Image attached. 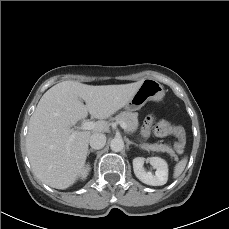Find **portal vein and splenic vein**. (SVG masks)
Masks as SVG:
<instances>
[{"label":"portal vein and splenic vein","mask_w":229,"mask_h":229,"mask_svg":"<svg viewBox=\"0 0 229 229\" xmlns=\"http://www.w3.org/2000/svg\"><path fill=\"white\" fill-rule=\"evenodd\" d=\"M119 124H120V126H121L124 130H126V128H127L126 123L121 122V123H119ZM97 126H98V123H97V122H92V121L84 120L83 123H82V125H81V127H80V129H81V130H93V129H95ZM73 137H74L73 135L70 137V141L73 140Z\"/></svg>","instance_id":"1"}]
</instances>
